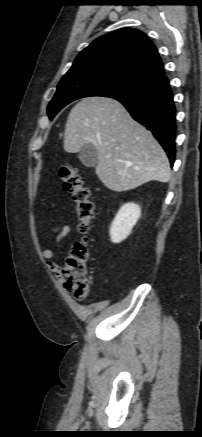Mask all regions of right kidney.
<instances>
[{
    "label": "right kidney",
    "mask_w": 202,
    "mask_h": 437,
    "mask_svg": "<svg viewBox=\"0 0 202 437\" xmlns=\"http://www.w3.org/2000/svg\"><path fill=\"white\" fill-rule=\"evenodd\" d=\"M141 216V209L135 203L124 204L110 226V238L113 243H120L131 233L132 228Z\"/></svg>",
    "instance_id": "obj_1"
}]
</instances>
